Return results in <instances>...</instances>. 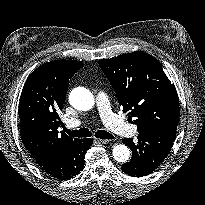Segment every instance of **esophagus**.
<instances>
[{"instance_id":"34e87169","label":"esophagus","mask_w":205,"mask_h":205,"mask_svg":"<svg viewBox=\"0 0 205 205\" xmlns=\"http://www.w3.org/2000/svg\"><path fill=\"white\" fill-rule=\"evenodd\" d=\"M98 143H101V144H108L110 142V140H107V139H96Z\"/></svg>"}]
</instances>
